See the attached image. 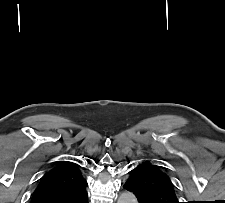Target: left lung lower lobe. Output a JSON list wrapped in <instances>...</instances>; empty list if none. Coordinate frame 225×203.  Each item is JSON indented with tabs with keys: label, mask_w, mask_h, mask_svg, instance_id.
<instances>
[{
	"label": "left lung lower lobe",
	"mask_w": 225,
	"mask_h": 203,
	"mask_svg": "<svg viewBox=\"0 0 225 203\" xmlns=\"http://www.w3.org/2000/svg\"><path fill=\"white\" fill-rule=\"evenodd\" d=\"M123 188L128 190V191H132V189L130 188V186L128 185V183H124ZM133 192V191H132ZM139 202V201H138ZM140 203V202H139Z\"/></svg>",
	"instance_id": "left-lung-lower-lobe-1"
}]
</instances>
